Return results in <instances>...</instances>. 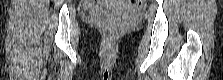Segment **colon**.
Wrapping results in <instances>:
<instances>
[{
  "mask_svg": "<svg viewBox=\"0 0 223 80\" xmlns=\"http://www.w3.org/2000/svg\"><path fill=\"white\" fill-rule=\"evenodd\" d=\"M130 3L132 6L134 7H138V6H141L143 4V0H130ZM103 32H104V35L110 39L112 37H114L116 35V30L112 27H104L103 29Z\"/></svg>",
  "mask_w": 223,
  "mask_h": 80,
  "instance_id": "colon-1",
  "label": "colon"
}]
</instances>
